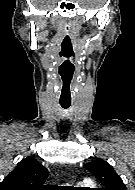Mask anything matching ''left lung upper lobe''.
<instances>
[{"mask_svg": "<svg viewBox=\"0 0 135 190\" xmlns=\"http://www.w3.org/2000/svg\"><path fill=\"white\" fill-rule=\"evenodd\" d=\"M85 167L105 186L101 190H127L121 177L106 161L96 160L86 164Z\"/></svg>", "mask_w": 135, "mask_h": 190, "instance_id": "5c2ea615", "label": "left lung upper lobe"}]
</instances>
